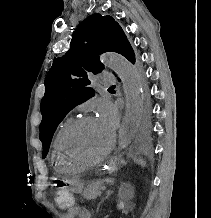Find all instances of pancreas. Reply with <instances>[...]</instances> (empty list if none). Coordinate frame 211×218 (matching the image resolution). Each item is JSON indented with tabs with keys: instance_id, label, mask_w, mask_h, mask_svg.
<instances>
[{
	"instance_id": "1",
	"label": "pancreas",
	"mask_w": 211,
	"mask_h": 218,
	"mask_svg": "<svg viewBox=\"0 0 211 218\" xmlns=\"http://www.w3.org/2000/svg\"><path fill=\"white\" fill-rule=\"evenodd\" d=\"M100 190H103L102 184H100V182H94V184H89L87 188H84L82 196L86 198V200H95L97 196H100Z\"/></svg>"
}]
</instances>
